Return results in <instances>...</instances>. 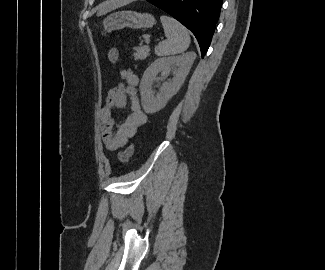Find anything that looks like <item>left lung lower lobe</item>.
I'll use <instances>...</instances> for the list:
<instances>
[{
    "mask_svg": "<svg viewBox=\"0 0 325 270\" xmlns=\"http://www.w3.org/2000/svg\"><path fill=\"white\" fill-rule=\"evenodd\" d=\"M146 1L162 9L187 27L195 35L202 58L204 57L210 46L223 0Z\"/></svg>",
    "mask_w": 325,
    "mask_h": 270,
    "instance_id": "left-lung-lower-lobe-1",
    "label": "left lung lower lobe"
}]
</instances>
